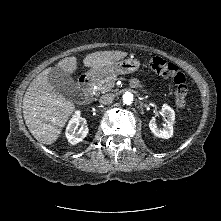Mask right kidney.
Returning a JSON list of instances; mask_svg holds the SVG:
<instances>
[{
	"label": "right kidney",
	"instance_id": "right-kidney-1",
	"mask_svg": "<svg viewBox=\"0 0 221 221\" xmlns=\"http://www.w3.org/2000/svg\"><path fill=\"white\" fill-rule=\"evenodd\" d=\"M79 125H80V112L77 111L74 117L69 121V124L67 125L65 132L68 142L72 145L81 142L88 134L89 129L86 123L84 122L81 125V127L78 129Z\"/></svg>",
	"mask_w": 221,
	"mask_h": 221
}]
</instances>
